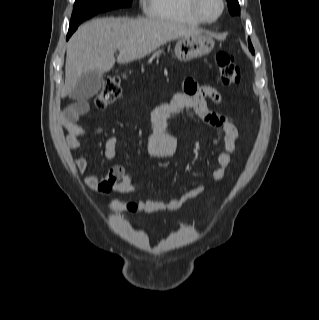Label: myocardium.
I'll return each instance as SVG.
<instances>
[{
	"instance_id": "1",
	"label": "myocardium",
	"mask_w": 319,
	"mask_h": 320,
	"mask_svg": "<svg viewBox=\"0 0 319 320\" xmlns=\"http://www.w3.org/2000/svg\"><path fill=\"white\" fill-rule=\"evenodd\" d=\"M188 1H189L188 2L189 9L191 13L194 15V17L198 19L200 22L206 23V24H211L218 21L222 17L226 7L225 1L219 0L220 10L218 14L214 18H208L200 8V0H188Z\"/></svg>"
}]
</instances>
